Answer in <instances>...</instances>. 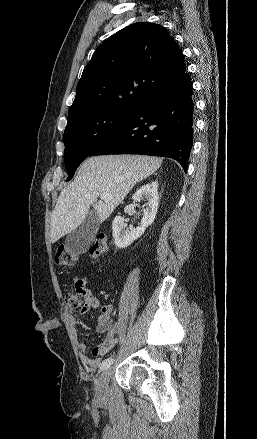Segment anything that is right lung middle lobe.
<instances>
[{"label": "right lung middle lobe", "mask_w": 257, "mask_h": 439, "mask_svg": "<svg viewBox=\"0 0 257 439\" xmlns=\"http://www.w3.org/2000/svg\"><path fill=\"white\" fill-rule=\"evenodd\" d=\"M135 109L104 108L86 111L68 119L64 131L65 167L69 181L77 167L95 147L124 123Z\"/></svg>", "instance_id": "1"}]
</instances>
